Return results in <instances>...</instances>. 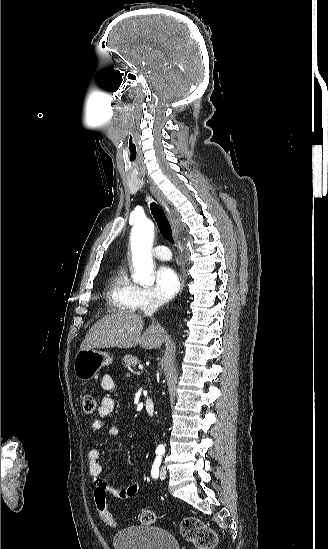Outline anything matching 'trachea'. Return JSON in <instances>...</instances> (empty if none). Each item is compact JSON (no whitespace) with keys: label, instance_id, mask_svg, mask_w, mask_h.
Segmentation results:
<instances>
[{"label":"trachea","instance_id":"3493384b","mask_svg":"<svg viewBox=\"0 0 328 549\" xmlns=\"http://www.w3.org/2000/svg\"><path fill=\"white\" fill-rule=\"evenodd\" d=\"M150 210L164 239L169 240L172 244H174L171 225L163 211L155 202H151Z\"/></svg>","mask_w":328,"mask_h":549}]
</instances>
